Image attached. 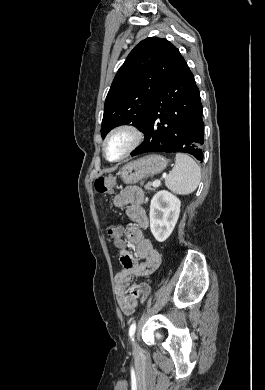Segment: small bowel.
Here are the masks:
<instances>
[{
    "label": "small bowel",
    "instance_id": "1",
    "mask_svg": "<svg viewBox=\"0 0 265 390\" xmlns=\"http://www.w3.org/2000/svg\"><path fill=\"white\" fill-rule=\"evenodd\" d=\"M143 202L144 194L135 186L126 187L114 197L115 206L125 207L127 215L135 222L126 230L127 240L123 239V228L117 227L119 239L115 242L122 265V270L115 276L117 298L126 315L134 312L140 299V285H132V277L151 275L161 263L160 253L144 234L147 216ZM129 244L134 246V252L128 248Z\"/></svg>",
    "mask_w": 265,
    "mask_h": 390
}]
</instances>
